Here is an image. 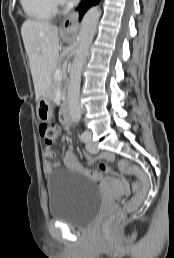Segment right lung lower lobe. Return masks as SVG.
Instances as JSON below:
<instances>
[{
  "label": "right lung lower lobe",
  "mask_w": 174,
  "mask_h": 258,
  "mask_svg": "<svg viewBox=\"0 0 174 258\" xmlns=\"http://www.w3.org/2000/svg\"><path fill=\"white\" fill-rule=\"evenodd\" d=\"M99 1L100 0H82L79 6L80 18L83 16V14L85 13V11H87L88 8L99 3Z\"/></svg>",
  "instance_id": "98d812e1"
}]
</instances>
